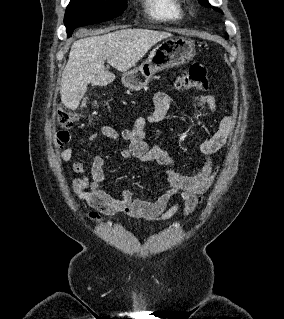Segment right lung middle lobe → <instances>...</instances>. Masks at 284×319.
<instances>
[{
	"label": "right lung middle lobe",
	"instance_id": "right-lung-middle-lobe-1",
	"mask_svg": "<svg viewBox=\"0 0 284 319\" xmlns=\"http://www.w3.org/2000/svg\"><path fill=\"white\" fill-rule=\"evenodd\" d=\"M125 8L126 0H71L64 17L68 37L75 28L110 20Z\"/></svg>",
	"mask_w": 284,
	"mask_h": 319
}]
</instances>
